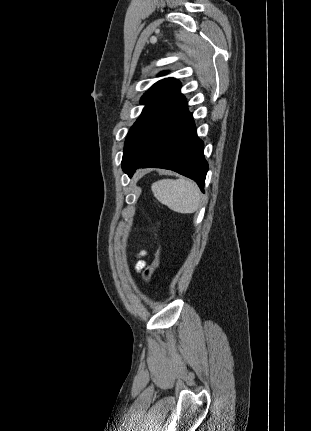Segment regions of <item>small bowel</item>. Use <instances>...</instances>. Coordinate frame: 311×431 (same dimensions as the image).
Segmentation results:
<instances>
[{
	"label": "small bowel",
	"instance_id": "c3829d8e",
	"mask_svg": "<svg viewBox=\"0 0 311 431\" xmlns=\"http://www.w3.org/2000/svg\"><path fill=\"white\" fill-rule=\"evenodd\" d=\"M145 255V251H141L140 253H139V256H144ZM145 266V262L144 261H139L138 263H137V265H136V268L137 269H141V268H143Z\"/></svg>",
	"mask_w": 311,
	"mask_h": 431
}]
</instances>
